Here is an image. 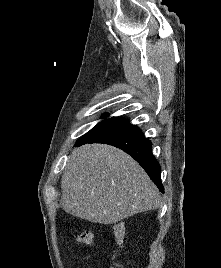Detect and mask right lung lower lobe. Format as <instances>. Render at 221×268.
Returning <instances> with one entry per match:
<instances>
[{
  "mask_svg": "<svg viewBox=\"0 0 221 268\" xmlns=\"http://www.w3.org/2000/svg\"><path fill=\"white\" fill-rule=\"evenodd\" d=\"M85 143H106L122 149L144 168L159 190L164 192L161 183V167L152 154V143L143 136L136 125L124 123L82 144Z\"/></svg>",
  "mask_w": 221,
  "mask_h": 268,
  "instance_id": "1",
  "label": "right lung lower lobe"
}]
</instances>
